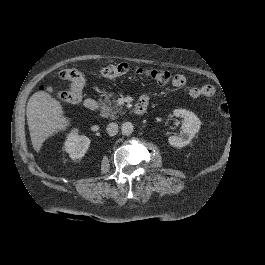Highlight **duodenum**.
<instances>
[{
    "label": "duodenum",
    "mask_w": 265,
    "mask_h": 265,
    "mask_svg": "<svg viewBox=\"0 0 265 265\" xmlns=\"http://www.w3.org/2000/svg\"><path fill=\"white\" fill-rule=\"evenodd\" d=\"M84 106L86 109L90 110V111H94L97 109L98 107V103L95 99L93 98H87L84 101ZM147 110V104L142 103V102H138L136 107H135V113L138 115H142L146 112Z\"/></svg>",
    "instance_id": "410a0bca"
}]
</instances>
